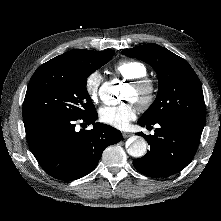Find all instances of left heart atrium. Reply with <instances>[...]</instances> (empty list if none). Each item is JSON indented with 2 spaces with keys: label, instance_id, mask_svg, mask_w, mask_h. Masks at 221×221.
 Returning <instances> with one entry per match:
<instances>
[{
  "label": "left heart atrium",
  "instance_id": "obj_1",
  "mask_svg": "<svg viewBox=\"0 0 221 221\" xmlns=\"http://www.w3.org/2000/svg\"><path fill=\"white\" fill-rule=\"evenodd\" d=\"M135 115V108L131 103L104 106L99 110L101 122L119 129L126 128Z\"/></svg>",
  "mask_w": 221,
  "mask_h": 221
}]
</instances>
